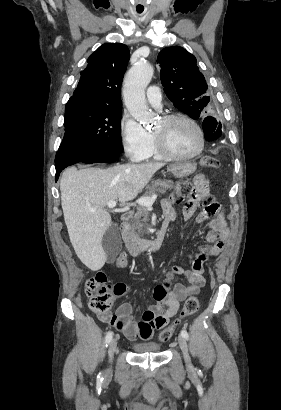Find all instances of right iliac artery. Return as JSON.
<instances>
[{
    "mask_svg": "<svg viewBox=\"0 0 281 410\" xmlns=\"http://www.w3.org/2000/svg\"><path fill=\"white\" fill-rule=\"evenodd\" d=\"M113 337V332H108L106 337H105V344L106 346L110 343V341L112 340ZM103 378L101 375H98V380L101 381Z\"/></svg>",
    "mask_w": 281,
    "mask_h": 410,
    "instance_id": "right-iliac-artery-1",
    "label": "right iliac artery"
}]
</instances>
